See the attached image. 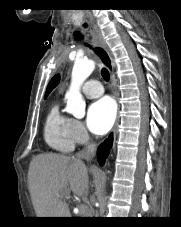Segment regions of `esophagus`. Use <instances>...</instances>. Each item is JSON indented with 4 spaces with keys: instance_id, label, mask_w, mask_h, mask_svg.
Returning a JSON list of instances; mask_svg holds the SVG:
<instances>
[{
    "instance_id": "obj_1",
    "label": "esophagus",
    "mask_w": 181,
    "mask_h": 227,
    "mask_svg": "<svg viewBox=\"0 0 181 227\" xmlns=\"http://www.w3.org/2000/svg\"><path fill=\"white\" fill-rule=\"evenodd\" d=\"M93 31V51L99 57L104 66L110 71L112 80L114 78V63L110 50L105 44L101 34L94 28ZM106 53H104V52Z\"/></svg>"
}]
</instances>
